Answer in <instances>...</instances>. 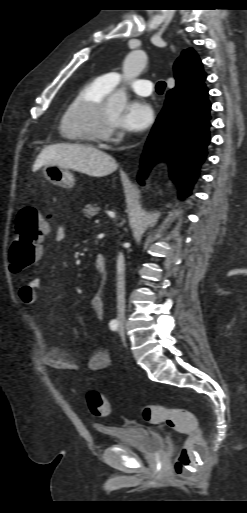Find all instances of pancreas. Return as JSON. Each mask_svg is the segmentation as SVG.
I'll list each match as a JSON object with an SVG mask.
<instances>
[{
    "label": "pancreas",
    "mask_w": 247,
    "mask_h": 513,
    "mask_svg": "<svg viewBox=\"0 0 247 513\" xmlns=\"http://www.w3.org/2000/svg\"><path fill=\"white\" fill-rule=\"evenodd\" d=\"M100 208L97 206L96 203L93 204H87L84 206L82 212L85 217L90 218L92 216H95L99 213Z\"/></svg>",
    "instance_id": "cf45deb5"
}]
</instances>
